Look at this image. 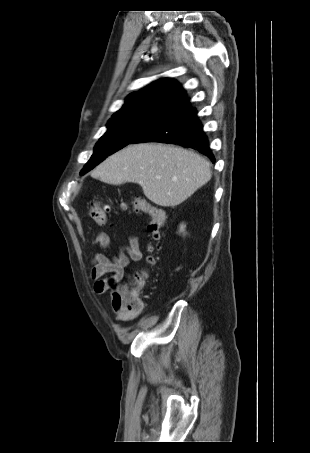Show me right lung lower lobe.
I'll return each instance as SVG.
<instances>
[{"instance_id":"1","label":"right lung lower lobe","mask_w":310,"mask_h":453,"mask_svg":"<svg viewBox=\"0 0 310 453\" xmlns=\"http://www.w3.org/2000/svg\"><path fill=\"white\" fill-rule=\"evenodd\" d=\"M141 142L178 144L197 150L215 162L203 125L188 97L166 110L131 143Z\"/></svg>"}]
</instances>
